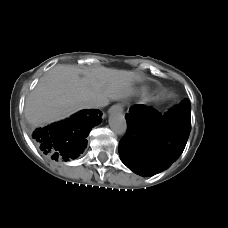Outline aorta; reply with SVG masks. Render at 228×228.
Instances as JSON below:
<instances>
[{"mask_svg":"<svg viewBox=\"0 0 228 228\" xmlns=\"http://www.w3.org/2000/svg\"><path fill=\"white\" fill-rule=\"evenodd\" d=\"M109 126L111 130L118 135L126 133V119L120 110H114L110 113Z\"/></svg>","mask_w":228,"mask_h":228,"instance_id":"aorta-1","label":"aorta"}]
</instances>
